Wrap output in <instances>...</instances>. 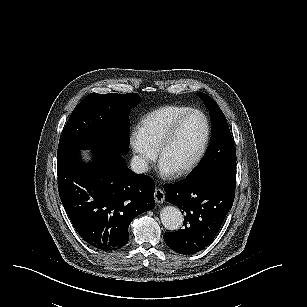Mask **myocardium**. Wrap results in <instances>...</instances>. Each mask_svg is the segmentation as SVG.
I'll use <instances>...</instances> for the list:
<instances>
[{"label":"myocardium","instance_id":"obj_1","mask_svg":"<svg viewBox=\"0 0 307 307\" xmlns=\"http://www.w3.org/2000/svg\"><path fill=\"white\" fill-rule=\"evenodd\" d=\"M193 117H197L199 120V123L202 127V137L201 141L198 147L197 152L195 153L194 157L185 165L183 166H176L171 168L172 173H181V172H187L188 170L192 169L199 158L202 156L205 147H206V141H207V126H206V114L200 110H188L182 114H180L177 118L173 120V124H171L169 128V133L166 135V137L162 140V143L165 144V146H162L158 153H157V160L159 162L160 158L165 156L166 148H170L172 140H173V134L177 131L179 127L182 126V123L185 122L187 119Z\"/></svg>","mask_w":307,"mask_h":307}]
</instances>
